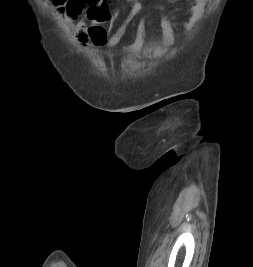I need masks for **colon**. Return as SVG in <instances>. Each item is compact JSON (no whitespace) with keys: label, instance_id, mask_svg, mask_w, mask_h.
I'll use <instances>...</instances> for the list:
<instances>
[{"label":"colon","instance_id":"5ec220e1","mask_svg":"<svg viewBox=\"0 0 253 267\" xmlns=\"http://www.w3.org/2000/svg\"><path fill=\"white\" fill-rule=\"evenodd\" d=\"M50 2L57 7H63L68 5L71 2V0H50ZM88 34L91 42L94 45L97 46L106 45L108 40V32L103 26L100 25L90 26Z\"/></svg>","mask_w":253,"mask_h":267}]
</instances>
